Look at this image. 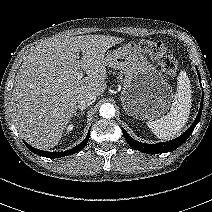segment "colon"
<instances>
[{
	"label": "colon",
	"mask_w": 212,
	"mask_h": 212,
	"mask_svg": "<svg viewBox=\"0 0 212 212\" xmlns=\"http://www.w3.org/2000/svg\"><path fill=\"white\" fill-rule=\"evenodd\" d=\"M138 48L141 52L156 60L167 76L174 77L176 75L178 61L169 47L159 42L143 40L139 42Z\"/></svg>",
	"instance_id": "1"
}]
</instances>
